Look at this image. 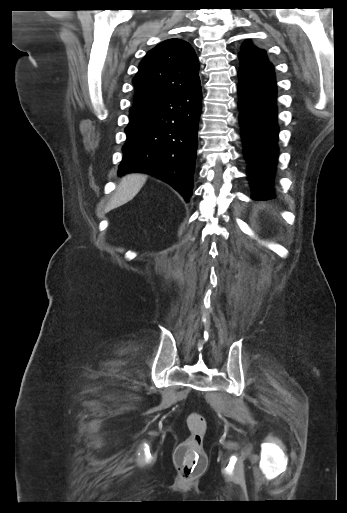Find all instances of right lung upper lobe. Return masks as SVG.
I'll return each instance as SVG.
<instances>
[{
	"label": "right lung upper lobe",
	"instance_id": "cb5924a9",
	"mask_svg": "<svg viewBox=\"0 0 347 513\" xmlns=\"http://www.w3.org/2000/svg\"><path fill=\"white\" fill-rule=\"evenodd\" d=\"M198 61L191 45L169 39L149 51L133 79L134 104L163 99L200 87Z\"/></svg>",
	"mask_w": 347,
	"mask_h": 513
}]
</instances>
